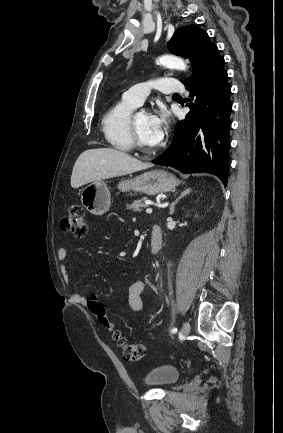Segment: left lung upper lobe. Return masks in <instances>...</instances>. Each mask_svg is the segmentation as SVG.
<instances>
[{"mask_svg":"<svg viewBox=\"0 0 283 433\" xmlns=\"http://www.w3.org/2000/svg\"><path fill=\"white\" fill-rule=\"evenodd\" d=\"M214 45L206 32L189 25L179 28L168 42L167 47L175 55L189 58L192 66L197 59Z\"/></svg>","mask_w":283,"mask_h":433,"instance_id":"1","label":"left lung upper lobe"}]
</instances>
